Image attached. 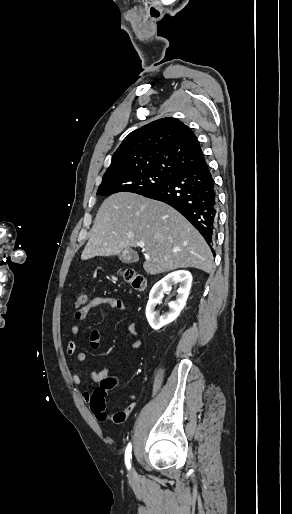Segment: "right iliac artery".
Returning a JSON list of instances; mask_svg holds the SVG:
<instances>
[{
    "mask_svg": "<svg viewBox=\"0 0 292 514\" xmlns=\"http://www.w3.org/2000/svg\"><path fill=\"white\" fill-rule=\"evenodd\" d=\"M131 451H132V445H131V443H129L127 445L126 451H125V464H126L127 469L131 468V463H130V460L132 457Z\"/></svg>",
    "mask_w": 292,
    "mask_h": 514,
    "instance_id": "1",
    "label": "right iliac artery"
}]
</instances>
